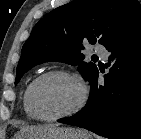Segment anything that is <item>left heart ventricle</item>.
Returning a JSON list of instances; mask_svg holds the SVG:
<instances>
[{
  "label": "left heart ventricle",
  "instance_id": "b2bd125f",
  "mask_svg": "<svg viewBox=\"0 0 141 139\" xmlns=\"http://www.w3.org/2000/svg\"><path fill=\"white\" fill-rule=\"evenodd\" d=\"M80 88L76 81L64 76H51L35 88L34 101L38 111L53 116L71 109L79 100Z\"/></svg>",
  "mask_w": 141,
  "mask_h": 139
}]
</instances>
